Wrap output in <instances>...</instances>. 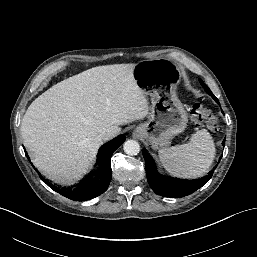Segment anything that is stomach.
Here are the masks:
<instances>
[{"instance_id":"0dacf381","label":"stomach","mask_w":257,"mask_h":257,"mask_svg":"<svg viewBox=\"0 0 257 257\" xmlns=\"http://www.w3.org/2000/svg\"><path fill=\"white\" fill-rule=\"evenodd\" d=\"M133 76L152 101L148 121L140 124L134 134L147 140L155 150L167 148L172 139L185 130L188 122L176 93L181 79L180 68L165 58L143 60L134 65Z\"/></svg>"}]
</instances>
